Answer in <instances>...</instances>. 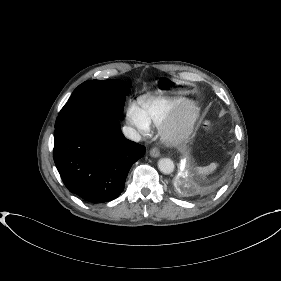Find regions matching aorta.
Instances as JSON below:
<instances>
[{
    "mask_svg": "<svg viewBox=\"0 0 281 281\" xmlns=\"http://www.w3.org/2000/svg\"><path fill=\"white\" fill-rule=\"evenodd\" d=\"M158 168L164 174H171L174 171V163L169 158H161L158 161Z\"/></svg>",
    "mask_w": 281,
    "mask_h": 281,
    "instance_id": "aorta-1",
    "label": "aorta"
}]
</instances>
